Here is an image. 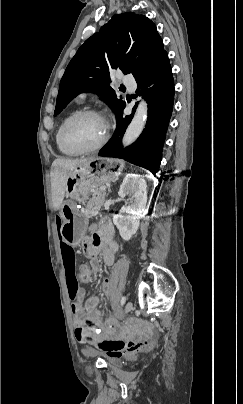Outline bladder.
<instances>
[{"instance_id": "31cf9c89", "label": "bladder", "mask_w": 243, "mask_h": 404, "mask_svg": "<svg viewBox=\"0 0 243 404\" xmlns=\"http://www.w3.org/2000/svg\"><path fill=\"white\" fill-rule=\"evenodd\" d=\"M82 353L86 357H98L102 356L107 364L112 366H119L121 364V358L118 356H110V355H102L98 350L95 348L85 346L81 349Z\"/></svg>"}]
</instances>
